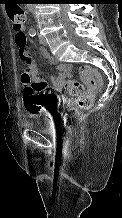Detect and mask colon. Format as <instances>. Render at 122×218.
Returning a JSON list of instances; mask_svg holds the SVG:
<instances>
[{"label":"colon","mask_w":122,"mask_h":218,"mask_svg":"<svg viewBox=\"0 0 122 218\" xmlns=\"http://www.w3.org/2000/svg\"><path fill=\"white\" fill-rule=\"evenodd\" d=\"M8 16L12 22L13 29L16 31L15 43L18 47L19 56L23 61L29 60V54L26 50L27 37L22 31L26 15L24 10L17 5H9L7 8ZM80 76L84 82L91 83L87 92L84 91L82 84L78 80H67L64 82L63 87L67 94L76 99V103L79 109H89L93 102V92L97 87L102 84V78L100 72L91 66L83 65L80 67ZM21 81L24 85V105L30 113H39L41 109L34 102V95L36 86L31 83V76L28 70L24 71L21 75ZM67 119V127L71 129L74 124V119L77 116L76 108H69L65 113Z\"/></svg>","instance_id":"obj_1"}]
</instances>
